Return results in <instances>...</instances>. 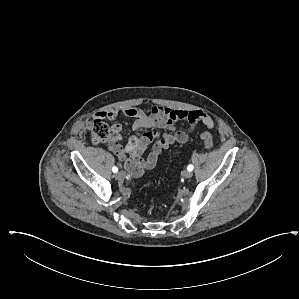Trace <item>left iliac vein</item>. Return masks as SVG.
Instances as JSON below:
<instances>
[{
  "instance_id": "left-iliac-vein-1",
  "label": "left iliac vein",
  "mask_w": 299,
  "mask_h": 299,
  "mask_svg": "<svg viewBox=\"0 0 299 299\" xmlns=\"http://www.w3.org/2000/svg\"><path fill=\"white\" fill-rule=\"evenodd\" d=\"M182 176L186 179L191 178L192 177V172L188 171V170H185V171L182 172Z\"/></svg>"
}]
</instances>
